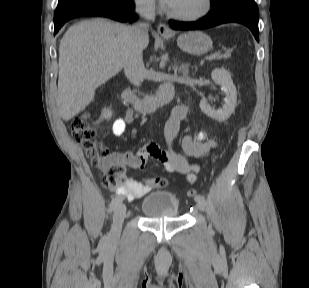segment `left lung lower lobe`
<instances>
[{
    "label": "left lung lower lobe",
    "mask_w": 309,
    "mask_h": 288,
    "mask_svg": "<svg viewBox=\"0 0 309 288\" xmlns=\"http://www.w3.org/2000/svg\"><path fill=\"white\" fill-rule=\"evenodd\" d=\"M258 20V8L254 0H224L199 21H169V25L175 30H197L237 22L247 26L259 42Z\"/></svg>",
    "instance_id": "0a47b994"
}]
</instances>
